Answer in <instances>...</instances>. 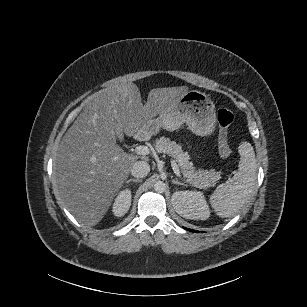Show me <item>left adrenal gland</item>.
<instances>
[{
    "label": "left adrenal gland",
    "mask_w": 307,
    "mask_h": 307,
    "mask_svg": "<svg viewBox=\"0 0 307 307\" xmlns=\"http://www.w3.org/2000/svg\"><path fill=\"white\" fill-rule=\"evenodd\" d=\"M172 183H173V184H177V185L187 186V184H185V183H183V182H181V181H178V179H173V180H172Z\"/></svg>",
    "instance_id": "obj_1"
}]
</instances>
